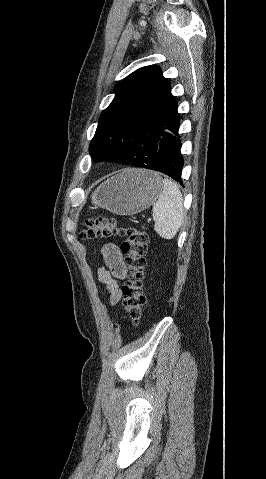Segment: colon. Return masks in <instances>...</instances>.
I'll return each instance as SVG.
<instances>
[{
    "mask_svg": "<svg viewBox=\"0 0 266 479\" xmlns=\"http://www.w3.org/2000/svg\"><path fill=\"white\" fill-rule=\"evenodd\" d=\"M124 236L121 251L125 255L129 275L121 287L126 315L137 323L142 315L146 297L144 293V270L146 265L148 234L138 227H125L113 218L97 217L85 220L80 232L81 239Z\"/></svg>",
    "mask_w": 266,
    "mask_h": 479,
    "instance_id": "colon-1",
    "label": "colon"
}]
</instances>
